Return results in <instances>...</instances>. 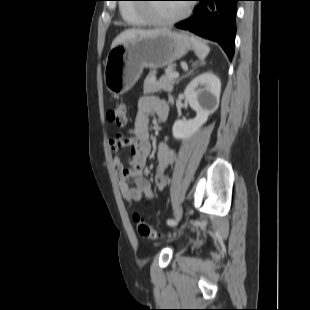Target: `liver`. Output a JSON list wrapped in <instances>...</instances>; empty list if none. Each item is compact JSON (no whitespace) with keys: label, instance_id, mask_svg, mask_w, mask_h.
Segmentation results:
<instances>
[{"label":"liver","instance_id":"liver-1","mask_svg":"<svg viewBox=\"0 0 310 310\" xmlns=\"http://www.w3.org/2000/svg\"><path fill=\"white\" fill-rule=\"evenodd\" d=\"M163 31H166V29H154V30L127 29V30H124L113 40L111 49L121 43H125L128 41H134L140 38L150 37L152 35L159 34Z\"/></svg>","mask_w":310,"mask_h":310}]
</instances>
